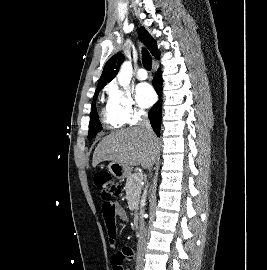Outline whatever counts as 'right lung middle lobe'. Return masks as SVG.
<instances>
[{
  "label": "right lung middle lobe",
  "instance_id": "1",
  "mask_svg": "<svg viewBox=\"0 0 267 270\" xmlns=\"http://www.w3.org/2000/svg\"><path fill=\"white\" fill-rule=\"evenodd\" d=\"M99 92H95L94 101L92 103L91 115H90V123H89V134L88 139H92L102 128L101 123L99 121V117L96 111V98Z\"/></svg>",
  "mask_w": 267,
  "mask_h": 270
}]
</instances>
